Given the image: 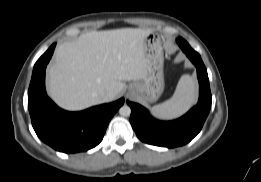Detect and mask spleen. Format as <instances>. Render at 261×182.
<instances>
[{"instance_id": "spleen-1", "label": "spleen", "mask_w": 261, "mask_h": 182, "mask_svg": "<svg viewBox=\"0 0 261 182\" xmlns=\"http://www.w3.org/2000/svg\"><path fill=\"white\" fill-rule=\"evenodd\" d=\"M196 82L185 74L178 81L173 96L152 108V113L160 119H172L185 113L196 101Z\"/></svg>"}]
</instances>
